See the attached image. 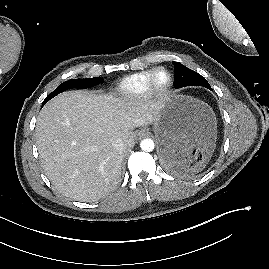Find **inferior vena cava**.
<instances>
[{
	"label": "inferior vena cava",
	"instance_id": "602c4592",
	"mask_svg": "<svg viewBox=\"0 0 269 269\" xmlns=\"http://www.w3.org/2000/svg\"><path fill=\"white\" fill-rule=\"evenodd\" d=\"M112 146L117 150H123L124 142L120 138H117L112 142Z\"/></svg>",
	"mask_w": 269,
	"mask_h": 269
}]
</instances>
